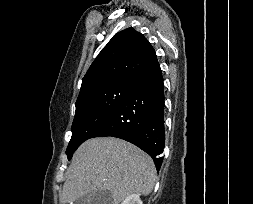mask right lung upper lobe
Masks as SVG:
<instances>
[{
    "instance_id": "1",
    "label": "right lung upper lobe",
    "mask_w": 253,
    "mask_h": 204,
    "mask_svg": "<svg viewBox=\"0 0 253 204\" xmlns=\"http://www.w3.org/2000/svg\"><path fill=\"white\" fill-rule=\"evenodd\" d=\"M157 63L149 41L133 28L115 34L82 79L79 96L116 82H135Z\"/></svg>"
}]
</instances>
